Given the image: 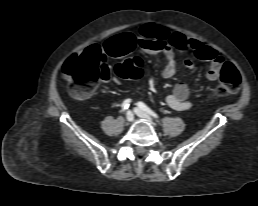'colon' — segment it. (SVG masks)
Instances as JSON below:
<instances>
[{"label": "colon", "instance_id": "colon-1", "mask_svg": "<svg viewBox=\"0 0 258 206\" xmlns=\"http://www.w3.org/2000/svg\"><path fill=\"white\" fill-rule=\"evenodd\" d=\"M131 48L134 47L130 43ZM144 72V64L139 58L120 61L115 73L122 78L139 79ZM110 69L105 55L97 48H89L80 54L72 55L64 64L63 77L68 82L70 95L77 100L87 99L94 88L108 79ZM241 84V76L236 67L227 62L220 72V83L213 95L225 96L236 93Z\"/></svg>", "mask_w": 258, "mask_h": 206}]
</instances>
